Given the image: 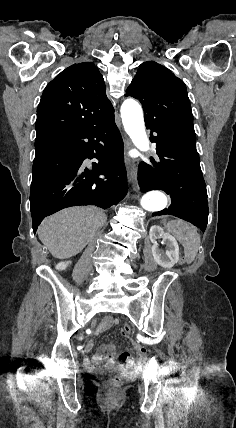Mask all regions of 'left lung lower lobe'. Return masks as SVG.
I'll list each match as a JSON object with an SVG mask.
<instances>
[{
    "instance_id": "0a47b994",
    "label": "left lung lower lobe",
    "mask_w": 236,
    "mask_h": 428,
    "mask_svg": "<svg viewBox=\"0 0 236 428\" xmlns=\"http://www.w3.org/2000/svg\"><path fill=\"white\" fill-rule=\"evenodd\" d=\"M151 130V142L156 143L160 162L155 168L141 163L138 181L140 190H163L172 204L152 216L173 215L199 227L203 232L208 223V200L200 168L196 144L184 141L169 129L146 125Z\"/></svg>"
}]
</instances>
